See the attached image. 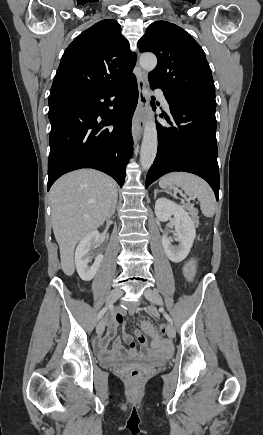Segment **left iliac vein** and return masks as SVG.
Returning <instances> with one entry per match:
<instances>
[{"label": "left iliac vein", "instance_id": "4c4485c4", "mask_svg": "<svg viewBox=\"0 0 263 435\" xmlns=\"http://www.w3.org/2000/svg\"><path fill=\"white\" fill-rule=\"evenodd\" d=\"M144 296L147 300H149L150 302H152L154 304H157V305L163 304V301H162L160 294L155 290L146 289L144 292ZM167 335L169 338L175 337V328H174L172 323H168V325H167Z\"/></svg>", "mask_w": 263, "mask_h": 435}]
</instances>
